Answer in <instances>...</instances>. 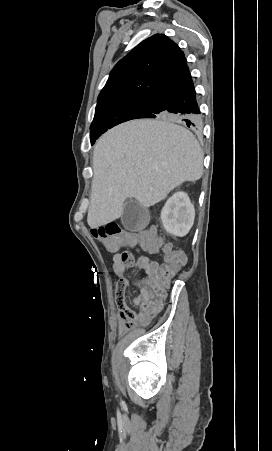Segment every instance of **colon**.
Wrapping results in <instances>:
<instances>
[{
  "label": "colon",
  "instance_id": "colon-1",
  "mask_svg": "<svg viewBox=\"0 0 272 451\" xmlns=\"http://www.w3.org/2000/svg\"><path fill=\"white\" fill-rule=\"evenodd\" d=\"M92 233L95 239L104 244L108 250L131 249L133 244H137L139 249H148L150 256H159L161 249H165V264L163 265H157L158 262L154 258L150 259L149 262L146 258H136L129 251L120 252L119 258L113 259L111 263L115 270L120 268V270L125 271L136 267L150 270L147 280H131L130 282L131 289H140V294H136L135 301L140 303L141 310H156L161 303L168 302L165 289L170 286L173 271L184 270L182 260L187 258L186 251H182L181 247H170V242L162 240L158 230H145L138 232L137 235L129 232L127 235L125 228L121 225L107 223L93 229ZM151 266L156 267L151 269ZM135 316V311L131 309H127L121 314V330L123 332L131 327Z\"/></svg>",
  "mask_w": 272,
  "mask_h": 451
}]
</instances>
